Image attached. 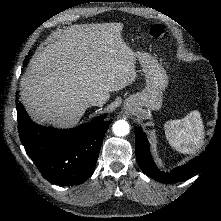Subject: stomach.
<instances>
[{
    "mask_svg": "<svg viewBox=\"0 0 221 221\" xmlns=\"http://www.w3.org/2000/svg\"><path fill=\"white\" fill-rule=\"evenodd\" d=\"M137 54V60L145 76L146 87L126 100V108L144 118L151 110L161 108L162 93L168 86L169 78L155 57L146 52H137Z\"/></svg>",
    "mask_w": 221,
    "mask_h": 221,
    "instance_id": "1",
    "label": "stomach"
}]
</instances>
